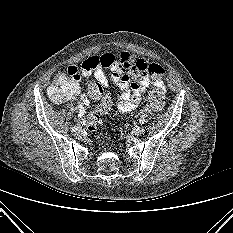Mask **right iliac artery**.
<instances>
[{"instance_id":"obj_1","label":"right iliac artery","mask_w":233,"mask_h":233,"mask_svg":"<svg viewBox=\"0 0 233 233\" xmlns=\"http://www.w3.org/2000/svg\"><path fill=\"white\" fill-rule=\"evenodd\" d=\"M78 129H79V126H73V127L71 128L72 132H74V133L77 132Z\"/></svg>"}]
</instances>
